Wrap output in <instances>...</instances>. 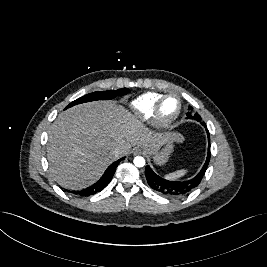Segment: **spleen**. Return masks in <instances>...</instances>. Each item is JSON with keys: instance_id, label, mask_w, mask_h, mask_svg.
I'll list each match as a JSON object with an SVG mask.
<instances>
[{"instance_id": "3e777b00", "label": "spleen", "mask_w": 267, "mask_h": 267, "mask_svg": "<svg viewBox=\"0 0 267 267\" xmlns=\"http://www.w3.org/2000/svg\"><path fill=\"white\" fill-rule=\"evenodd\" d=\"M186 172H187V170H178V171H175L173 173L166 175V178L170 179V180H176V179H179L180 177H182L183 175H185Z\"/></svg>"}]
</instances>
